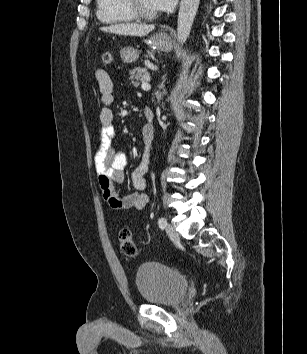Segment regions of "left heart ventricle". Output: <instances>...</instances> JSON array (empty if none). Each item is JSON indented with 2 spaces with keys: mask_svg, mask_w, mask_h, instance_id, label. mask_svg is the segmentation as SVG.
Listing matches in <instances>:
<instances>
[{
  "mask_svg": "<svg viewBox=\"0 0 307 354\" xmlns=\"http://www.w3.org/2000/svg\"><path fill=\"white\" fill-rule=\"evenodd\" d=\"M141 7L148 12H156L152 0H139Z\"/></svg>",
  "mask_w": 307,
  "mask_h": 354,
  "instance_id": "b2bd125f",
  "label": "left heart ventricle"
}]
</instances>
